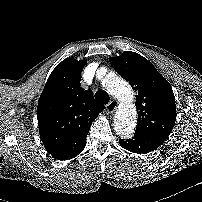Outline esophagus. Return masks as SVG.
<instances>
[{"label":"esophagus","instance_id":"1","mask_svg":"<svg viewBox=\"0 0 202 202\" xmlns=\"http://www.w3.org/2000/svg\"><path fill=\"white\" fill-rule=\"evenodd\" d=\"M118 108V102L115 100H112L106 105V110L108 113H113Z\"/></svg>","mask_w":202,"mask_h":202}]
</instances>
